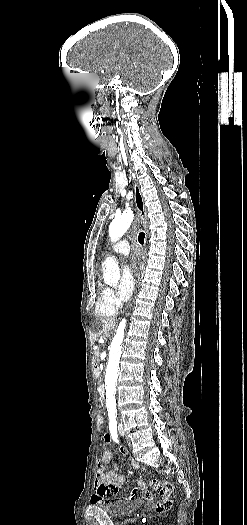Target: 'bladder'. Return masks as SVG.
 <instances>
[{
    "label": "bladder",
    "instance_id": "1",
    "mask_svg": "<svg viewBox=\"0 0 247 525\" xmlns=\"http://www.w3.org/2000/svg\"><path fill=\"white\" fill-rule=\"evenodd\" d=\"M92 504L100 508L110 517H119L135 512L139 507H141L142 500L133 503L127 499H118L115 501H100Z\"/></svg>",
    "mask_w": 247,
    "mask_h": 525
}]
</instances>
